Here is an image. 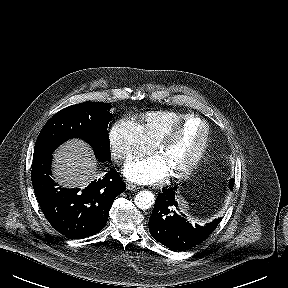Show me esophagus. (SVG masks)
Here are the masks:
<instances>
[{
	"label": "esophagus",
	"instance_id": "34e87169",
	"mask_svg": "<svg viewBox=\"0 0 288 288\" xmlns=\"http://www.w3.org/2000/svg\"><path fill=\"white\" fill-rule=\"evenodd\" d=\"M126 188H127V190H130V191H136L137 189H139L138 186L131 184V183H127Z\"/></svg>",
	"mask_w": 288,
	"mask_h": 288
}]
</instances>
